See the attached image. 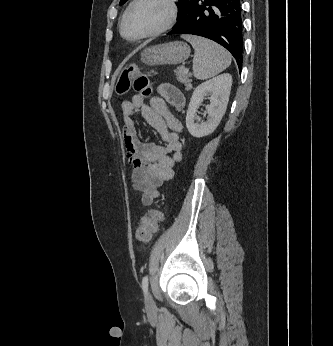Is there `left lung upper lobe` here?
Returning a JSON list of instances; mask_svg holds the SVG:
<instances>
[{
    "label": "left lung upper lobe",
    "instance_id": "obj_1",
    "mask_svg": "<svg viewBox=\"0 0 333 346\" xmlns=\"http://www.w3.org/2000/svg\"><path fill=\"white\" fill-rule=\"evenodd\" d=\"M126 1L127 0H120V5H123ZM191 1L192 0H179L180 5L178 7V17H177L178 22L184 17L187 7Z\"/></svg>",
    "mask_w": 333,
    "mask_h": 346
}]
</instances>
